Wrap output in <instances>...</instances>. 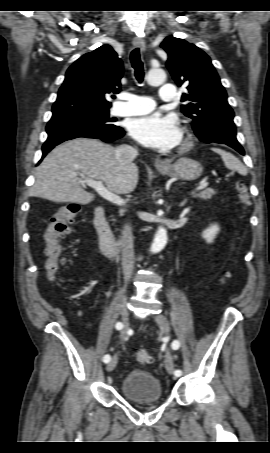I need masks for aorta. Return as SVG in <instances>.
<instances>
[{
    "instance_id": "obj_1",
    "label": "aorta",
    "mask_w": 270,
    "mask_h": 453,
    "mask_svg": "<svg viewBox=\"0 0 270 453\" xmlns=\"http://www.w3.org/2000/svg\"><path fill=\"white\" fill-rule=\"evenodd\" d=\"M166 74L162 69H151L147 74V82L152 86H157L165 81ZM167 243V231L164 227H159L153 244L151 246L152 253L160 252Z\"/></svg>"
}]
</instances>
